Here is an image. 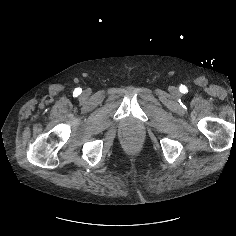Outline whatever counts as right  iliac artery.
I'll return each mask as SVG.
<instances>
[{
	"label": "right iliac artery",
	"mask_w": 236,
	"mask_h": 236,
	"mask_svg": "<svg viewBox=\"0 0 236 236\" xmlns=\"http://www.w3.org/2000/svg\"><path fill=\"white\" fill-rule=\"evenodd\" d=\"M81 92H82V89H81V88H76V89L74 90V95H75V96H78L79 94H81Z\"/></svg>",
	"instance_id": "1"
}]
</instances>
